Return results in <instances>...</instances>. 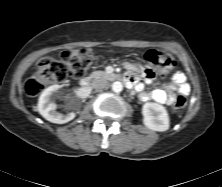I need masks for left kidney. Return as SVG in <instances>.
<instances>
[{"mask_svg":"<svg viewBox=\"0 0 222 187\" xmlns=\"http://www.w3.org/2000/svg\"><path fill=\"white\" fill-rule=\"evenodd\" d=\"M144 125L154 131L163 132L169 129L170 120L164 106L147 102L142 107Z\"/></svg>","mask_w":222,"mask_h":187,"instance_id":"obj_1","label":"left kidney"}]
</instances>
